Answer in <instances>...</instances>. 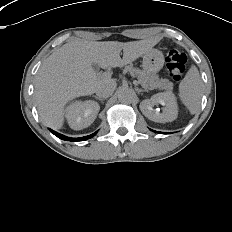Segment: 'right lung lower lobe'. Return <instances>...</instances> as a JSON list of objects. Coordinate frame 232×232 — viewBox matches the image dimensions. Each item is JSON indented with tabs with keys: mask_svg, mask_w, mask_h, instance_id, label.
I'll return each mask as SVG.
<instances>
[{
	"mask_svg": "<svg viewBox=\"0 0 232 232\" xmlns=\"http://www.w3.org/2000/svg\"><path fill=\"white\" fill-rule=\"evenodd\" d=\"M50 131L55 135L57 136L58 138L60 139H63V140H67V141H83V140H87L91 137H93L97 132L91 134V135H88V136H85V137H81V138H70V137H67V136H64L62 134H59L53 130L50 129Z\"/></svg>",
	"mask_w": 232,
	"mask_h": 232,
	"instance_id": "98d812e1",
	"label": "right lung lower lobe"
}]
</instances>
